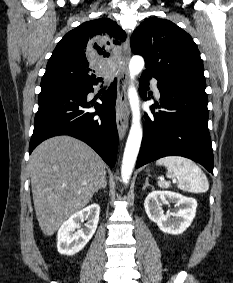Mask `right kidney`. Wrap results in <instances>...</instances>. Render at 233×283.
<instances>
[{"instance_id": "right-kidney-1", "label": "right kidney", "mask_w": 233, "mask_h": 283, "mask_svg": "<svg viewBox=\"0 0 233 283\" xmlns=\"http://www.w3.org/2000/svg\"><path fill=\"white\" fill-rule=\"evenodd\" d=\"M99 213L100 206L94 203L66 220L57 234L58 252L62 255L72 256L81 251L96 231ZM84 221H87L85 226L80 228V224Z\"/></svg>"}]
</instances>
